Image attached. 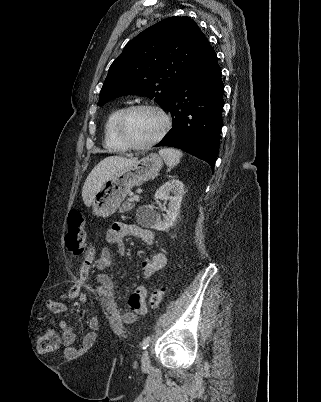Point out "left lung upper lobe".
<instances>
[{"label":"left lung upper lobe","mask_w":321,"mask_h":402,"mask_svg":"<svg viewBox=\"0 0 321 402\" xmlns=\"http://www.w3.org/2000/svg\"><path fill=\"white\" fill-rule=\"evenodd\" d=\"M208 44L189 17H171L147 28L111 64L99 105L129 94L154 98L166 109L173 91Z\"/></svg>","instance_id":"5c2ea615"}]
</instances>
